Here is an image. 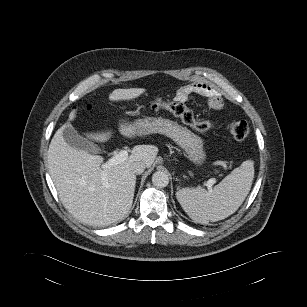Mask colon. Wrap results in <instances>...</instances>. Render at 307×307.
<instances>
[{
	"instance_id": "obj_1",
	"label": "colon",
	"mask_w": 307,
	"mask_h": 307,
	"mask_svg": "<svg viewBox=\"0 0 307 307\" xmlns=\"http://www.w3.org/2000/svg\"><path fill=\"white\" fill-rule=\"evenodd\" d=\"M150 108L155 111H167L180 118L184 123L192 126L201 132H208L214 128L211 121H202L197 119L193 112L186 107L184 103L177 101L169 102L160 97H155L149 104ZM229 133L239 141L245 140L249 135V126L245 121H234L227 125Z\"/></svg>"
}]
</instances>
